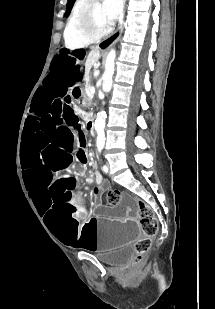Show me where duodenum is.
<instances>
[{
    "mask_svg": "<svg viewBox=\"0 0 215 309\" xmlns=\"http://www.w3.org/2000/svg\"><path fill=\"white\" fill-rule=\"evenodd\" d=\"M86 122L88 124V128H89L90 132L95 133V117L93 115L88 114L86 116Z\"/></svg>",
    "mask_w": 215,
    "mask_h": 309,
    "instance_id": "1",
    "label": "duodenum"
}]
</instances>
